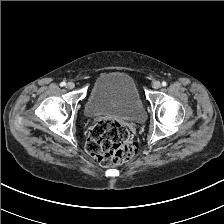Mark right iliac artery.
Returning <instances> with one entry per match:
<instances>
[{
    "label": "right iliac artery",
    "mask_w": 224,
    "mask_h": 224,
    "mask_svg": "<svg viewBox=\"0 0 224 224\" xmlns=\"http://www.w3.org/2000/svg\"><path fill=\"white\" fill-rule=\"evenodd\" d=\"M65 85H66L65 82H61V83H60V86H61V87L65 86Z\"/></svg>",
    "instance_id": "right-iliac-artery-1"
}]
</instances>
